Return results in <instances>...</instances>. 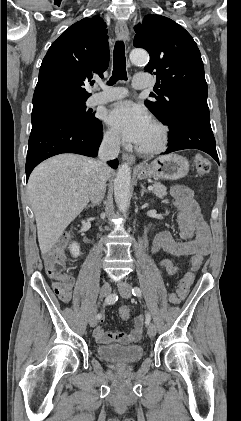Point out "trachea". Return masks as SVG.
<instances>
[{
    "label": "trachea",
    "mask_w": 241,
    "mask_h": 421,
    "mask_svg": "<svg viewBox=\"0 0 241 421\" xmlns=\"http://www.w3.org/2000/svg\"><path fill=\"white\" fill-rule=\"evenodd\" d=\"M113 71L112 77L107 82L108 85L115 84L118 80H126V58H125V46L123 41H117L114 47L113 53Z\"/></svg>",
    "instance_id": "trachea-1"
}]
</instances>
